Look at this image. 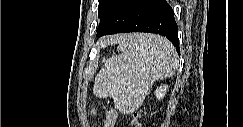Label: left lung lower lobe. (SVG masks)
I'll list each match as a JSON object with an SVG mask.
<instances>
[{
	"mask_svg": "<svg viewBox=\"0 0 243 127\" xmlns=\"http://www.w3.org/2000/svg\"><path fill=\"white\" fill-rule=\"evenodd\" d=\"M125 32L160 34L180 52L178 26L166 0H122L106 17V25L98 29L97 36Z\"/></svg>",
	"mask_w": 243,
	"mask_h": 127,
	"instance_id": "1",
	"label": "left lung lower lobe"
}]
</instances>
